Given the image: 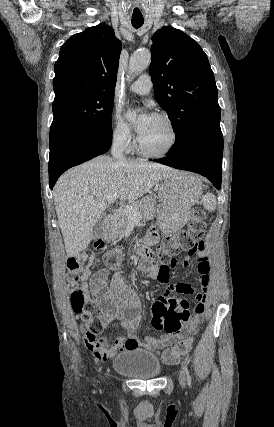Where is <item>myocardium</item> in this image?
<instances>
[{"label":"myocardium","mask_w":274,"mask_h":427,"mask_svg":"<svg viewBox=\"0 0 274 427\" xmlns=\"http://www.w3.org/2000/svg\"><path fill=\"white\" fill-rule=\"evenodd\" d=\"M153 116L164 121L168 125L170 132H171V136H172L171 142H170L169 146L164 151H162L160 153H152V152L146 151L142 147L140 140H139V137H137L136 138V150L141 156H143L145 158L162 159V158H165L172 153V151L174 150V148L176 147V145L178 143L179 135H178L176 125L169 115H167L165 113L156 112V113H153Z\"/></svg>","instance_id":"myocardium-1"}]
</instances>
